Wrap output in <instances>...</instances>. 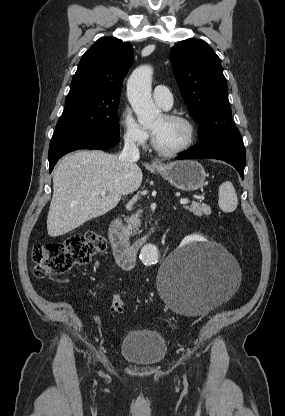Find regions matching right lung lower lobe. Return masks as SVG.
<instances>
[{"label":"right lung lower lobe","mask_w":285,"mask_h":416,"mask_svg":"<svg viewBox=\"0 0 285 416\" xmlns=\"http://www.w3.org/2000/svg\"><path fill=\"white\" fill-rule=\"evenodd\" d=\"M119 134L66 132L54 133L49 146V172L65 154L79 149H107L118 143Z\"/></svg>","instance_id":"98d812e1"}]
</instances>
